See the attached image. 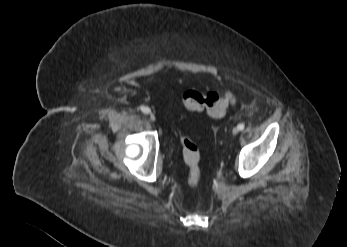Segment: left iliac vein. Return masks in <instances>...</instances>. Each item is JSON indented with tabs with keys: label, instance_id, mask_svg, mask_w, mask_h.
<instances>
[{
	"label": "left iliac vein",
	"instance_id": "4c4485c4",
	"mask_svg": "<svg viewBox=\"0 0 347 247\" xmlns=\"http://www.w3.org/2000/svg\"><path fill=\"white\" fill-rule=\"evenodd\" d=\"M238 132H239V129L237 127L233 128V130H232L233 135H237Z\"/></svg>",
	"mask_w": 347,
	"mask_h": 247
}]
</instances>
